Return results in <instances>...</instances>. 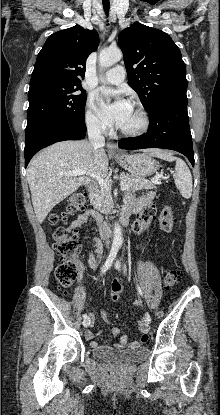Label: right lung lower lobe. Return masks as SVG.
Returning <instances> with one entry per match:
<instances>
[{
    "mask_svg": "<svg viewBox=\"0 0 220 415\" xmlns=\"http://www.w3.org/2000/svg\"><path fill=\"white\" fill-rule=\"evenodd\" d=\"M86 133L85 122L73 126H45L29 134L25 141V167L31 158L42 148L55 142L64 140H79L84 138Z\"/></svg>",
    "mask_w": 220,
    "mask_h": 415,
    "instance_id": "right-lung-lower-lobe-1",
    "label": "right lung lower lobe"
}]
</instances>
